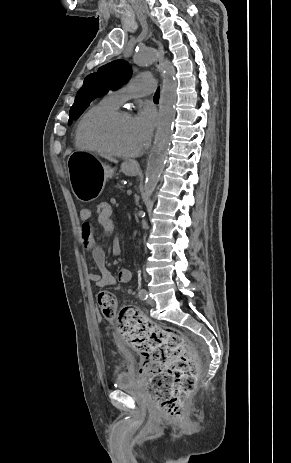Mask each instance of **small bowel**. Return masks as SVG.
<instances>
[{
  "mask_svg": "<svg viewBox=\"0 0 291 463\" xmlns=\"http://www.w3.org/2000/svg\"><path fill=\"white\" fill-rule=\"evenodd\" d=\"M91 210L88 208H82L80 210V220L82 222L80 228V236L82 242L90 250L94 263L98 269V273L89 272L87 278L89 281L94 283L97 287H109L119 283L126 284L132 279V273L129 269H121L118 273L117 278L108 270L106 266V255L103 248L98 245L94 240V231L90 224ZM112 217V216H111ZM106 233H112L114 231V223L112 226H102ZM112 247L113 253L119 255L121 252V239L120 234L115 232L113 234Z\"/></svg>",
  "mask_w": 291,
  "mask_h": 463,
  "instance_id": "small-bowel-1",
  "label": "small bowel"
}]
</instances>
